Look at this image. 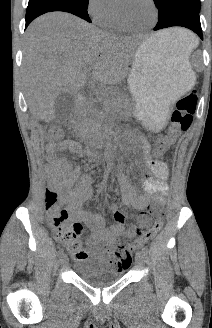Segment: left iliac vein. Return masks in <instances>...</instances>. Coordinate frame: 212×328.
Segmentation results:
<instances>
[{
	"instance_id": "1",
	"label": "left iliac vein",
	"mask_w": 212,
	"mask_h": 328,
	"mask_svg": "<svg viewBox=\"0 0 212 328\" xmlns=\"http://www.w3.org/2000/svg\"><path fill=\"white\" fill-rule=\"evenodd\" d=\"M145 253L143 251H137L135 255V260L138 265H142L144 262Z\"/></svg>"
}]
</instances>
